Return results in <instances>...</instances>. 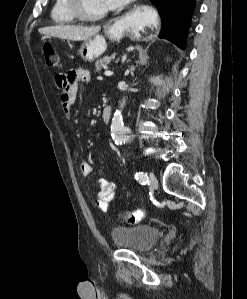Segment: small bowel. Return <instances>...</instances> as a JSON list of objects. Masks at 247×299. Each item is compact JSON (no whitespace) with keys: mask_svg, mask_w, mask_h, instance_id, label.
Segmentation results:
<instances>
[{"mask_svg":"<svg viewBox=\"0 0 247 299\" xmlns=\"http://www.w3.org/2000/svg\"><path fill=\"white\" fill-rule=\"evenodd\" d=\"M55 80L61 90V103L64 113L68 119H71L78 87L81 83L90 81V73L83 69L71 70L67 74L57 75ZM79 172L83 177H87L91 174L92 168L88 162L81 161ZM97 185L99 186V192L95 204L101 211H107L116 196V185L105 177L99 178Z\"/></svg>","mask_w":247,"mask_h":299,"instance_id":"small-bowel-1","label":"small bowel"}]
</instances>
